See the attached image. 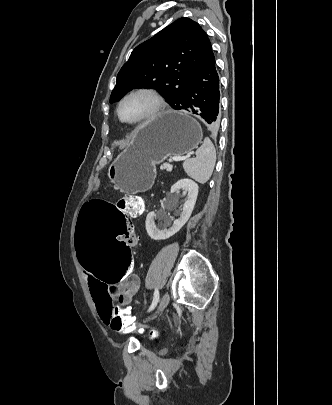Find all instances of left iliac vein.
Wrapping results in <instances>:
<instances>
[{
  "instance_id": "obj_1",
  "label": "left iliac vein",
  "mask_w": 332,
  "mask_h": 405,
  "mask_svg": "<svg viewBox=\"0 0 332 405\" xmlns=\"http://www.w3.org/2000/svg\"><path fill=\"white\" fill-rule=\"evenodd\" d=\"M169 300H170L169 294L165 293L162 296V298H161V300L159 302V306H158L157 310L155 311V313L148 316L145 320H143V322H147V321H150V320H153L154 318H156L165 309V307L168 305Z\"/></svg>"
}]
</instances>
